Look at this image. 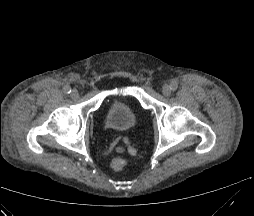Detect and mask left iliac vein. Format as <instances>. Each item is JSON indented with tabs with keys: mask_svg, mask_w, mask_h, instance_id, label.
<instances>
[{
	"mask_svg": "<svg viewBox=\"0 0 254 216\" xmlns=\"http://www.w3.org/2000/svg\"><path fill=\"white\" fill-rule=\"evenodd\" d=\"M162 92L165 96H169L171 94V87L167 84L163 85Z\"/></svg>",
	"mask_w": 254,
	"mask_h": 216,
	"instance_id": "1",
	"label": "left iliac vein"
}]
</instances>
